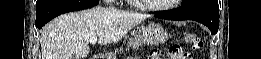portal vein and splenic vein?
Returning a JSON list of instances; mask_svg holds the SVG:
<instances>
[{
    "label": "portal vein and splenic vein",
    "instance_id": "1",
    "mask_svg": "<svg viewBox=\"0 0 261 59\" xmlns=\"http://www.w3.org/2000/svg\"><path fill=\"white\" fill-rule=\"evenodd\" d=\"M97 42V37L90 38V43L95 44Z\"/></svg>",
    "mask_w": 261,
    "mask_h": 59
}]
</instances>
